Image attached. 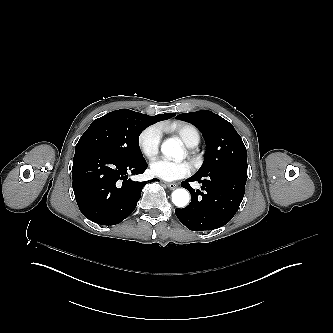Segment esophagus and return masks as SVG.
Here are the masks:
<instances>
[{"mask_svg": "<svg viewBox=\"0 0 333 333\" xmlns=\"http://www.w3.org/2000/svg\"><path fill=\"white\" fill-rule=\"evenodd\" d=\"M166 185L170 190H175L178 186L176 183H166Z\"/></svg>", "mask_w": 333, "mask_h": 333, "instance_id": "esophagus-1", "label": "esophagus"}]
</instances>
